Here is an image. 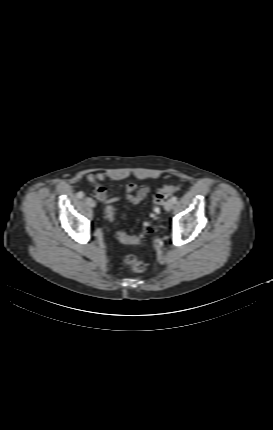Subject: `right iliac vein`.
I'll use <instances>...</instances> for the list:
<instances>
[{
	"label": "right iliac vein",
	"instance_id": "63e3f726",
	"mask_svg": "<svg viewBox=\"0 0 273 430\" xmlns=\"http://www.w3.org/2000/svg\"><path fill=\"white\" fill-rule=\"evenodd\" d=\"M85 202H86V204H87L89 207L94 208V207L96 206L95 201H94L93 199L89 198V197H87V198L85 199Z\"/></svg>",
	"mask_w": 273,
	"mask_h": 430
}]
</instances>
